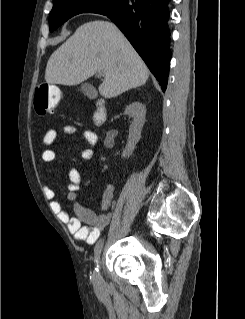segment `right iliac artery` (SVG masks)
I'll return each mask as SVG.
<instances>
[{
  "instance_id": "right-iliac-artery-1",
  "label": "right iliac artery",
  "mask_w": 245,
  "mask_h": 319,
  "mask_svg": "<svg viewBox=\"0 0 245 319\" xmlns=\"http://www.w3.org/2000/svg\"><path fill=\"white\" fill-rule=\"evenodd\" d=\"M102 244L97 243L94 249L95 254V262L98 263V259L100 257L101 251H102ZM93 282L98 287L101 283V276L98 273V268H95L94 274H93Z\"/></svg>"
}]
</instances>
